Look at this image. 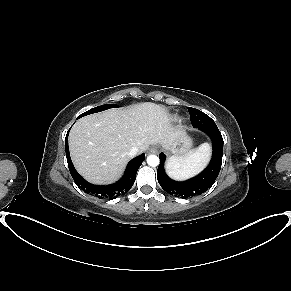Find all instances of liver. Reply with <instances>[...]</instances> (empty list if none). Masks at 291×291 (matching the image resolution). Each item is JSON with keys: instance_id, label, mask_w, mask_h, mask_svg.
I'll return each instance as SVG.
<instances>
[{"instance_id": "liver-1", "label": "liver", "mask_w": 291, "mask_h": 291, "mask_svg": "<svg viewBox=\"0 0 291 291\" xmlns=\"http://www.w3.org/2000/svg\"><path fill=\"white\" fill-rule=\"evenodd\" d=\"M173 128L166 108L151 102L111 109L79 119L69 134V148L77 171L96 184L110 183L122 173L131 157L149 145L169 149L183 136Z\"/></svg>"}]
</instances>
